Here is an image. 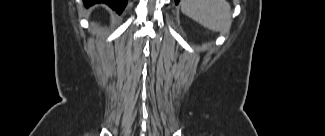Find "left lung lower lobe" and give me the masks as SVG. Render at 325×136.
Instances as JSON below:
<instances>
[{"label": "left lung lower lobe", "mask_w": 325, "mask_h": 136, "mask_svg": "<svg viewBox=\"0 0 325 136\" xmlns=\"http://www.w3.org/2000/svg\"><path fill=\"white\" fill-rule=\"evenodd\" d=\"M179 1H180V0H175V3L178 4Z\"/></svg>", "instance_id": "obj_1"}]
</instances>
